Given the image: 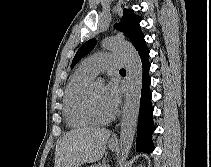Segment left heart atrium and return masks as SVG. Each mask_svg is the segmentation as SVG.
<instances>
[{
  "mask_svg": "<svg viewBox=\"0 0 211 167\" xmlns=\"http://www.w3.org/2000/svg\"><path fill=\"white\" fill-rule=\"evenodd\" d=\"M105 100L112 111L116 112L120 103L121 91L117 80L111 79L104 87Z\"/></svg>",
  "mask_w": 211,
  "mask_h": 167,
  "instance_id": "39dd6f15",
  "label": "left heart atrium"
}]
</instances>
